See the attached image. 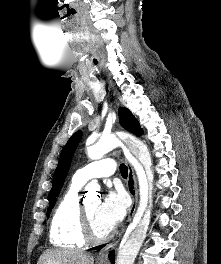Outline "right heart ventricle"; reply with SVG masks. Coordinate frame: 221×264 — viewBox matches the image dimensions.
I'll return each mask as SVG.
<instances>
[{
  "label": "right heart ventricle",
  "mask_w": 221,
  "mask_h": 264,
  "mask_svg": "<svg viewBox=\"0 0 221 264\" xmlns=\"http://www.w3.org/2000/svg\"><path fill=\"white\" fill-rule=\"evenodd\" d=\"M81 186L72 181L53 213L50 225V241L56 247L78 249L86 244L79 223V191Z\"/></svg>",
  "instance_id": "obj_1"
}]
</instances>
